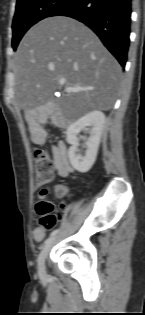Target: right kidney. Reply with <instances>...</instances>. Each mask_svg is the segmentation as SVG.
<instances>
[{"mask_svg": "<svg viewBox=\"0 0 145 315\" xmlns=\"http://www.w3.org/2000/svg\"><path fill=\"white\" fill-rule=\"evenodd\" d=\"M104 124V113L95 110L87 113L67 128L66 140L71 145L68 156L72 167L78 172H88L95 163ZM87 127H90V129ZM83 129L90 131V137L86 141L85 156L77 153L79 146L77 135Z\"/></svg>", "mask_w": 145, "mask_h": 315, "instance_id": "right-kidney-1", "label": "right kidney"}]
</instances>
